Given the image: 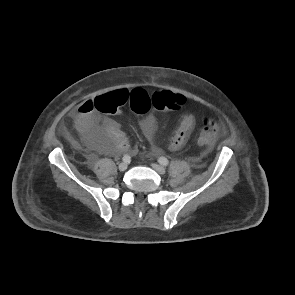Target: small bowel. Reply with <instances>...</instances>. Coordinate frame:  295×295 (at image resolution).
Wrapping results in <instances>:
<instances>
[{
	"mask_svg": "<svg viewBox=\"0 0 295 295\" xmlns=\"http://www.w3.org/2000/svg\"><path fill=\"white\" fill-rule=\"evenodd\" d=\"M71 117L81 134L83 140L94 150L105 154L130 153L136 154L120 128L111 119L100 116L93 107V100H86L72 111ZM196 116L188 111L172 136L169 148L172 151H180L187 143L195 126ZM141 127L151 143V155L161 152L156 144V120L152 115H147L141 120Z\"/></svg>",
	"mask_w": 295,
	"mask_h": 295,
	"instance_id": "small-bowel-1",
	"label": "small bowel"
}]
</instances>
